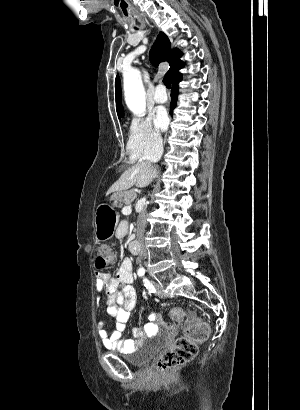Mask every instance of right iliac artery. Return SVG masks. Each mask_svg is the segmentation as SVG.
<instances>
[{"label":"right iliac artery","mask_w":300,"mask_h":410,"mask_svg":"<svg viewBox=\"0 0 300 410\" xmlns=\"http://www.w3.org/2000/svg\"><path fill=\"white\" fill-rule=\"evenodd\" d=\"M144 273H145L144 271H140V272H138V275H139V276H143Z\"/></svg>","instance_id":"right-iliac-artery-1"}]
</instances>
